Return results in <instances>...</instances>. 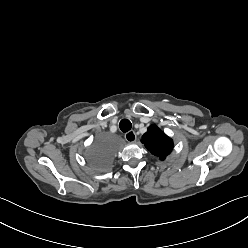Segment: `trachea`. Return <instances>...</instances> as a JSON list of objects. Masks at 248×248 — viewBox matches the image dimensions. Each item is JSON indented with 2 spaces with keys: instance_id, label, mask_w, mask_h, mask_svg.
I'll return each mask as SVG.
<instances>
[{
  "instance_id": "3493384b",
  "label": "trachea",
  "mask_w": 248,
  "mask_h": 248,
  "mask_svg": "<svg viewBox=\"0 0 248 248\" xmlns=\"http://www.w3.org/2000/svg\"><path fill=\"white\" fill-rule=\"evenodd\" d=\"M119 127L122 132H128L132 128V124L129 120L127 119H122L119 123Z\"/></svg>"
}]
</instances>
